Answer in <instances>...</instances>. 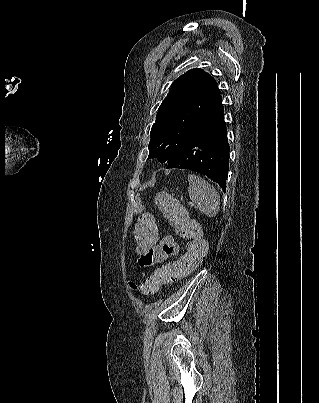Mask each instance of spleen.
Listing matches in <instances>:
<instances>
[{
	"label": "spleen",
	"mask_w": 319,
	"mask_h": 403,
	"mask_svg": "<svg viewBox=\"0 0 319 403\" xmlns=\"http://www.w3.org/2000/svg\"><path fill=\"white\" fill-rule=\"evenodd\" d=\"M188 194L202 214L215 216L220 207V196L216 189L198 175L188 176Z\"/></svg>",
	"instance_id": "1"
}]
</instances>
